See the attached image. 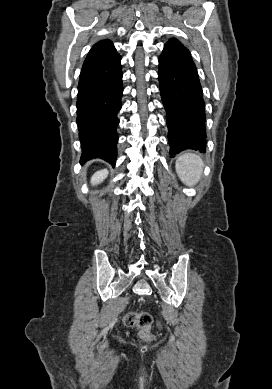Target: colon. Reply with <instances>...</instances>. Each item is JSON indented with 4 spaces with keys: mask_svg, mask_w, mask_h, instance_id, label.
Listing matches in <instances>:
<instances>
[{
    "mask_svg": "<svg viewBox=\"0 0 272 389\" xmlns=\"http://www.w3.org/2000/svg\"><path fill=\"white\" fill-rule=\"evenodd\" d=\"M123 323L128 327H138L140 337L147 342L154 340L152 332L153 317L147 312H129L123 317Z\"/></svg>",
    "mask_w": 272,
    "mask_h": 389,
    "instance_id": "5ec220e1",
    "label": "colon"
}]
</instances>
